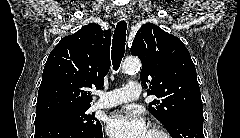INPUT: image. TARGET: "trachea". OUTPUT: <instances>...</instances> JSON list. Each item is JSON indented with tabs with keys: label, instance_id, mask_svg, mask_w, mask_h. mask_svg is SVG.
Masks as SVG:
<instances>
[{
	"label": "trachea",
	"instance_id": "trachea-1",
	"mask_svg": "<svg viewBox=\"0 0 240 138\" xmlns=\"http://www.w3.org/2000/svg\"><path fill=\"white\" fill-rule=\"evenodd\" d=\"M127 24L124 20L119 21L116 25L113 42H112V64L113 69L118 70L125 53Z\"/></svg>",
	"mask_w": 240,
	"mask_h": 138
}]
</instances>
